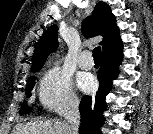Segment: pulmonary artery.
I'll use <instances>...</instances> for the list:
<instances>
[{
  "instance_id": "obj_1",
  "label": "pulmonary artery",
  "mask_w": 153,
  "mask_h": 134,
  "mask_svg": "<svg viewBox=\"0 0 153 134\" xmlns=\"http://www.w3.org/2000/svg\"><path fill=\"white\" fill-rule=\"evenodd\" d=\"M93 59L91 57V53L89 51H83L79 58V66L82 69L88 70L93 67Z\"/></svg>"
}]
</instances>
